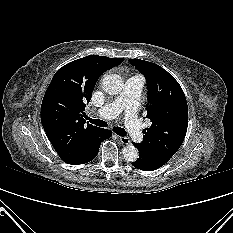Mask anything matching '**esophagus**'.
Masks as SVG:
<instances>
[{
  "label": "esophagus",
  "mask_w": 233,
  "mask_h": 233,
  "mask_svg": "<svg viewBox=\"0 0 233 233\" xmlns=\"http://www.w3.org/2000/svg\"><path fill=\"white\" fill-rule=\"evenodd\" d=\"M118 140L124 145L130 144V139L128 137L118 136Z\"/></svg>",
  "instance_id": "34e87169"
}]
</instances>
